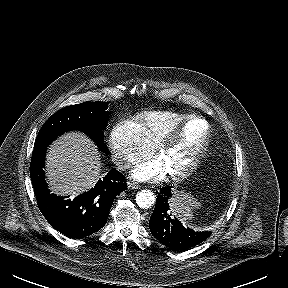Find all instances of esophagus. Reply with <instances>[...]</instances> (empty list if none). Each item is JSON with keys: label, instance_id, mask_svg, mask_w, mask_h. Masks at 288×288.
<instances>
[{"label": "esophagus", "instance_id": "esophagus-1", "mask_svg": "<svg viewBox=\"0 0 288 288\" xmlns=\"http://www.w3.org/2000/svg\"><path fill=\"white\" fill-rule=\"evenodd\" d=\"M128 184V188L129 189H138L140 186L137 184V183H135V182H128L127 183Z\"/></svg>", "mask_w": 288, "mask_h": 288}]
</instances>
